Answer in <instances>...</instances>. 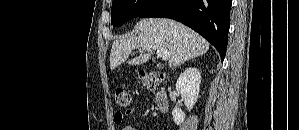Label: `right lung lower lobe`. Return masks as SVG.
I'll return each instance as SVG.
<instances>
[{"mask_svg":"<svg viewBox=\"0 0 299 130\" xmlns=\"http://www.w3.org/2000/svg\"><path fill=\"white\" fill-rule=\"evenodd\" d=\"M232 0H155L139 17L175 19L207 39L223 60L228 43Z\"/></svg>","mask_w":299,"mask_h":130,"instance_id":"right-lung-lower-lobe-1","label":"right lung lower lobe"}]
</instances>
